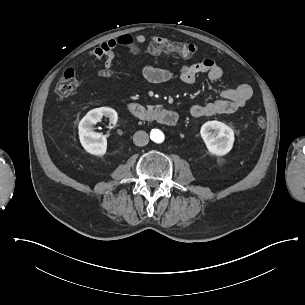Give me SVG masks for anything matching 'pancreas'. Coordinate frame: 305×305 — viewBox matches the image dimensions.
<instances>
[{"mask_svg": "<svg viewBox=\"0 0 305 305\" xmlns=\"http://www.w3.org/2000/svg\"><path fill=\"white\" fill-rule=\"evenodd\" d=\"M150 118H151V119H154V118H155V116H154V115H151V116H150Z\"/></svg>", "mask_w": 305, "mask_h": 305, "instance_id": "obj_1", "label": "pancreas"}]
</instances>
